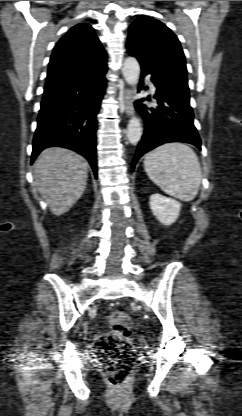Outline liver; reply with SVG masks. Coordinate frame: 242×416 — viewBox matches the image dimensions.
Returning a JSON list of instances; mask_svg holds the SVG:
<instances>
[{
	"instance_id": "1",
	"label": "liver",
	"mask_w": 242,
	"mask_h": 416,
	"mask_svg": "<svg viewBox=\"0 0 242 416\" xmlns=\"http://www.w3.org/2000/svg\"><path fill=\"white\" fill-rule=\"evenodd\" d=\"M87 178V161L65 148H47L34 163V185L56 216L67 212L82 196Z\"/></svg>"
}]
</instances>
